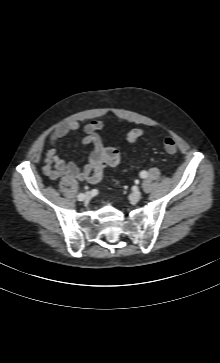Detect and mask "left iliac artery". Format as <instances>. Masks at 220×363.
<instances>
[{
    "instance_id": "44dca946",
    "label": "left iliac artery",
    "mask_w": 220,
    "mask_h": 363,
    "mask_svg": "<svg viewBox=\"0 0 220 363\" xmlns=\"http://www.w3.org/2000/svg\"><path fill=\"white\" fill-rule=\"evenodd\" d=\"M147 175H148V173H147L146 171H142V172H140V177H141V178H146V177H147Z\"/></svg>"
}]
</instances>
